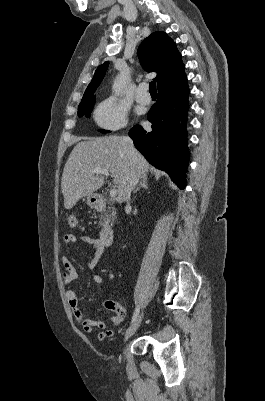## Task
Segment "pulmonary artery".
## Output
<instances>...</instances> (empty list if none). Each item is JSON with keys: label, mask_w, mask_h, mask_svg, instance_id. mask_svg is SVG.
Here are the masks:
<instances>
[{"label": "pulmonary artery", "mask_w": 265, "mask_h": 401, "mask_svg": "<svg viewBox=\"0 0 265 401\" xmlns=\"http://www.w3.org/2000/svg\"><path fill=\"white\" fill-rule=\"evenodd\" d=\"M145 84V82L139 84L140 87H138L137 91L135 92V97L138 102L149 104L151 102V96L148 95L145 87H143Z\"/></svg>", "instance_id": "e3ab8cb5"}]
</instances>
